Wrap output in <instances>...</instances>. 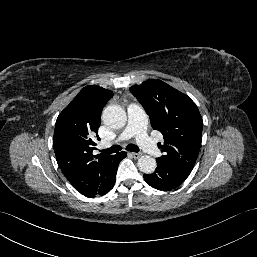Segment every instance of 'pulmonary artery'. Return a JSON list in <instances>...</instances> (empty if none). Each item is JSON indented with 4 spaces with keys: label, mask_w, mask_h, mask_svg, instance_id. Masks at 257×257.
I'll use <instances>...</instances> for the list:
<instances>
[{
    "label": "pulmonary artery",
    "mask_w": 257,
    "mask_h": 257,
    "mask_svg": "<svg viewBox=\"0 0 257 257\" xmlns=\"http://www.w3.org/2000/svg\"><path fill=\"white\" fill-rule=\"evenodd\" d=\"M128 123L122 131L119 139L126 140L135 137L140 147L151 156H159L160 150L155 142L147 135V117L138 103H131L127 107ZM102 146L107 147L108 143H103Z\"/></svg>",
    "instance_id": "1"
}]
</instances>
